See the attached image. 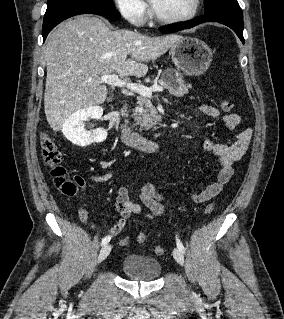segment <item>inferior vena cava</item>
<instances>
[{
    "instance_id": "1",
    "label": "inferior vena cava",
    "mask_w": 284,
    "mask_h": 319,
    "mask_svg": "<svg viewBox=\"0 0 284 319\" xmlns=\"http://www.w3.org/2000/svg\"><path fill=\"white\" fill-rule=\"evenodd\" d=\"M125 110V111H124ZM126 112V106L123 108L122 113ZM125 114V113H124Z\"/></svg>"
}]
</instances>
